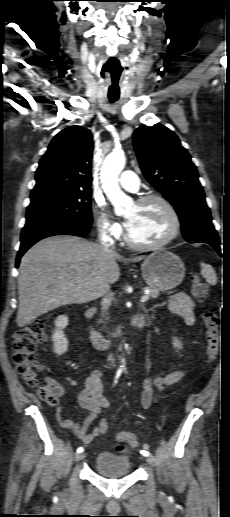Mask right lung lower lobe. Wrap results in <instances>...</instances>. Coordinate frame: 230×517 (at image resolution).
<instances>
[{"mask_svg":"<svg viewBox=\"0 0 230 517\" xmlns=\"http://www.w3.org/2000/svg\"><path fill=\"white\" fill-rule=\"evenodd\" d=\"M90 228L91 223L66 219H44L26 223L21 233V246L16 258V267L19 266L22 255L39 240L54 235L85 237Z\"/></svg>","mask_w":230,"mask_h":517,"instance_id":"98d812e1","label":"right lung lower lobe"}]
</instances>
